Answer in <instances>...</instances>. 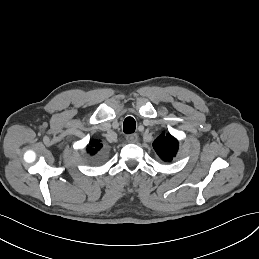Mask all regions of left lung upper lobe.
I'll return each mask as SVG.
<instances>
[{
  "instance_id": "obj_1",
  "label": "left lung upper lobe",
  "mask_w": 259,
  "mask_h": 259,
  "mask_svg": "<svg viewBox=\"0 0 259 259\" xmlns=\"http://www.w3.org/2000/svg\"><path fill=\"white\" fill-rule=\"evenodd\" d=\"M178 141L171 134L162 133L153 142V148L164 162H171L178 151Z\"/></svg>"
}]
</instances>
